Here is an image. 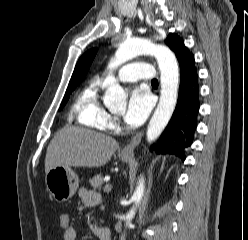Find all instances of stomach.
<instances>
[{"label":"stomach","mask_w":248,"mask_h":240,"mask_svg":"<svg viewBox=\"0 0 248 240\" xmlns=\"http://www.w3.org/2000/svg\"><path fill=\"white\" fill-rule=\"evenodd\" d=\"M131 159L132 155H121V160L124 162ZM45 183L54 199L58 202H64L76 193L79 187V178L70 167L57 166L46 174Z\"/></svg>","instance_id":"obj_1"}]
</instances>
